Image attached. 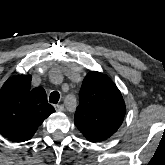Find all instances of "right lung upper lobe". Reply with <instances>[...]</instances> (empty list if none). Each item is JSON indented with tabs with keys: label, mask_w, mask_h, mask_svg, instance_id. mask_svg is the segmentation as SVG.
<instances>
[{
	"label": "right lung upper lobe",
	"mask_w": 165,
	"mask_h": 165,
	"mask_svg": "<svg viewBox=\"0 0 165 165\" xmlns=\"http://www.w3.org/2000/svg\"><path fill=\"white\" fill-rule=\"evenodd\" d=\"M31 75L8 79L0 90V133L13 142L32 138L37 128L55 112L43 88L30 89Z\"/></svg>",
	"instance_id": "1"
}]
</instances>
